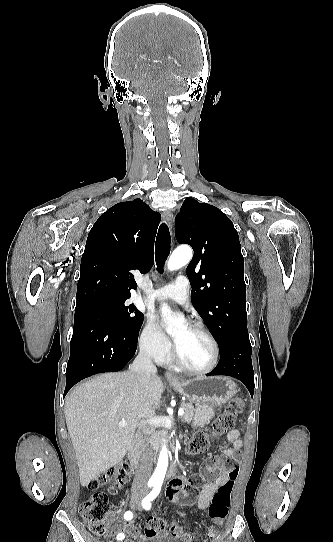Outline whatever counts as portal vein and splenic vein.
<instances>
[{
	"label": "portal vein and splenic vein",
	"instance_id": "1",
	"mask_svg": "<svg viewBox=\"0 0 333 542\" xmlns=\"http://www.w3.org/2000/svg\"><path fill=\"white\" fill-rule=\"evenodd\" d=\"M183 414H184L183 408H179L178 416H183ZM151 416H153V414H151ZM119 426H127L126 420H121V422H119Z\"/></svg>",
	"mask_w": 333,
	"mask_h": 542
}]
</instances>
